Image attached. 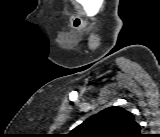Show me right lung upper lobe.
I'll use <instances>...</instances> for the list:
<instances>
[{
    "label": "right lung upper lobe",
    "instance_id": "right-lung-upper-lobe-1",
    "mask_svg": "<svg viewBox=\"0 0 160 137\" xmlns=\"http://www.w3.org/2000/svg\"><path fill=\"white\" fill-rule=\"evenodd\" d=\"M141 126L132 113L122 107L113 106L89 117L74 128L73 137H138Z\"/></svg>",
    "mask_w": 160,
    "mask_h": 137
}]
</instances>
